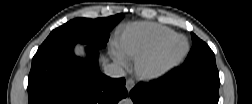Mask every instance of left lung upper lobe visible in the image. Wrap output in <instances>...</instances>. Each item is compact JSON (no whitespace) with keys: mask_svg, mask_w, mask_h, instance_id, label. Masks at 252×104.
Wrapping results in <instances>:
<instances>
[{"mask_svg":"<svg viewBox=\"0 0 252 104\" xmlns=\"http://www.w3.org/2000/svg\"><path fill=\"white\" fill-rule=\"evenodd\" d=\"M191 37L193 46L183 65L216 64L215 55L210 47L195 34L192 33Z\"/></svg>","mask_w":252,"mask_h":104,"instance_id":"5c2ea615","label":"left lung upper lobe"}]
</instances>
